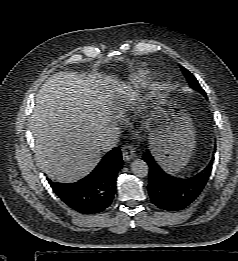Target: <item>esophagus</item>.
I'll return each instance as SVG.
<instances>
[{"label":"esophagus","instance_id":"34e87169","mask_svg":"<svg viewBox=\"0 0 238 261\" xmlns=\"http://www.w3.org/2000/svg\"><path fill=\"white\" fill-rule=\"evenodd\" d=\"M124 161H130L135 157V150L129 145H124L121 149Z\"/></svg>","mask_w":238,"mask_h":261}]
</instances>
